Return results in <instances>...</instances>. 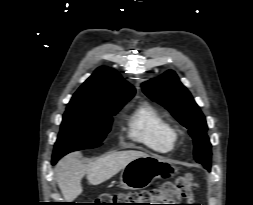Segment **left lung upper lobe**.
I'll return each instance as SVG.
<instances>
[{
    "mask_svg": "<svg viewBox=\"0 0 253 205\" xmlns=\"http://www.w3.org/2000/svg\"><path fill=\"white\" fill-rule=\"evenodd\" d=\"M142 89L148 97L168 109L189 130L194 140L195 160L210 170L211 144L206 135L205 117L175 72L169 70L160 77L143 83Z\"/></svg>",
    "mask_w": 253,
    "mask_h": 205,
    "instance_id": "1",
    "label": "left lung upper lobe"
}]
</instances>
